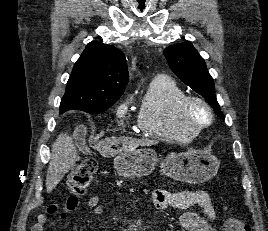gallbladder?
Returning a JSON list of instances; mask_svg holds the SVG:
<instances>
[{
    "label": "gallbladder",
    "mask_w": 268,
    "mask_h": 231,
    "mask_svg": "<svg viewBox=\"0 0 268 231\" xmlns=\"http://www.w3.org/2000/svg\"><path fill=\"white\" fill-rule=\"evenodd\" d=\"M80 150L85 153V154H89L91 151L89 149H87L82 143L78 144Z\"/></svg>",
    "instance_id": "gallbladder-1"
}]
</instances>
